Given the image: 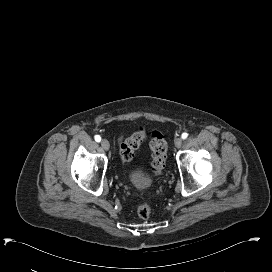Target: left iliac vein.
I'll return each mask as SVG.
<instances>
[{"label":"left iliac vein","mask_w":272,"mask_h":272,"mask_svg":"<svg viewBox=\"0 0 272 272\" xmlns=\"http://www.w3.org/2000/svg\"><path fill=\"white\" fill-rule=\"evenodd\" d=\"M183 140L181 138L175 139V147L180 148L182 146Z\"/></svg>","instance_id":"4c4485c4"}]
</instances>
